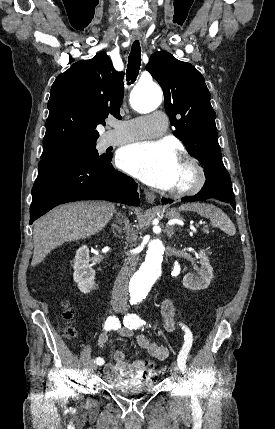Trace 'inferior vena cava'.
I'll return each instance as SVG.
<instances>
[{"instance_id":"obj_1","label":"inferior vena cava","mask_w":275,"mask_h":429,"mask_svg":"<svg viewBox=\"0 0 275 429\" xmlns=\"http://www.w3.org/2000/svg\"><path fill=\"white\" fill-rule=\"evenodd\" d=\"M124 230L127 234V240L129 242H135L137 240L133 228L130 226L128 220L124 221ZM138 256L136 254L128 256L122 266L118 277L115 280L113 291H112V302L119 304H126L128 291H129V280L136 269Z\"/></svg>"}]
</instances>
